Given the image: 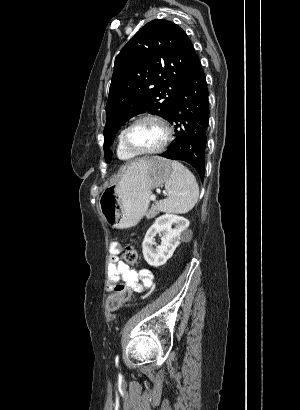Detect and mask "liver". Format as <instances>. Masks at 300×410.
Here are the masks:
<instances>
[{"instance_id": "1", "label": "liver", "mask_w": 300, "mask_h": 410, "mask_svg": "<svg viewBox=\"0 0 300 410\" xmlns=\"http://www.w3.org/2000/svg\"><path fill=\"white\" fill-rule=\"evenodd\" d=\"M146 162H147L146 159H140V160L132 162L128 167H135V166H138V165H144Z\"/></svg>"}]
</instances>
